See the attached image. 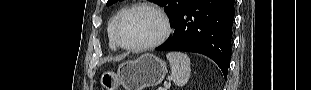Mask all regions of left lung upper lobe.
Segmentation results:
<instances>
[{"instance_id": "1", "label": "left lung upper lobe", "mask_w": 311, "mask_h": 90, "mask_svg": "<svg viewBox=\"0 0 311 90\" xmlns=\"http://www.w3.org/2000/svg\"><path fill=\"white\" fill-rule=\"evenodd\" d=\"M118 0H108L107 5H112ZM160 6L164 7L165 12L175 23L182 11L192 2V0H157Z\"/></svg>"}]
</instances>
